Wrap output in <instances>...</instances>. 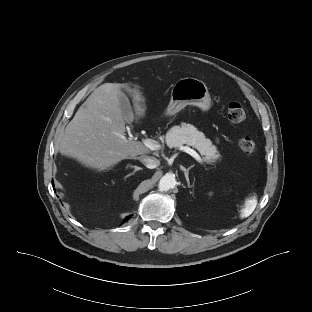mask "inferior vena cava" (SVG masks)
Wrapping results in <instances>:
<instances>
[{
	"instance_id": "obj_1",
	"label": "inferior vena cava",
	"mask_w": 312,
	"mask_h": 312,
	"mask_svg": "<svg viewBox=\"0 0 312 312\" xmlns=\"http://www.w3.org/2000/svg\"><path fill=\"white\" fill-rule=\"evenodd\" d=\"M138 159L149 169H154L160 164V161L157 158L147 155H141L140 157H138Z\"/></svg>"
}]
</instances>
